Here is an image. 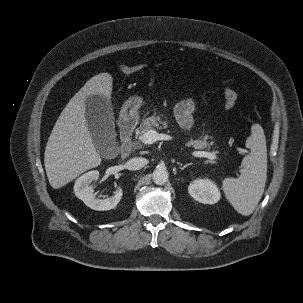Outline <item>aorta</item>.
<instances>
[{"label":"aorta","mask_w":303,"mask_h":303,"mask_svg":"<svg viewBox=\"0 0 303 303\" xmlns=\"http://www.w3.org/2000/svg\"><path fill=\"white\" fill-rule=\"evenodd\" d=\"M152 177L155 184L164 185L169 179V174L165 168L158 167L154 170Z\"/></svg>","instance_id":"762f6f07"}]
</instances>
